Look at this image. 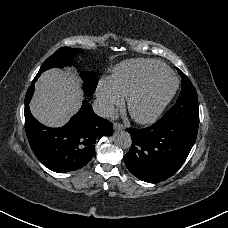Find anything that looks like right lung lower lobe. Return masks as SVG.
<instances>
[{"mask_svg": "<svg viewBox=\"0 0 228 228\" xmlns=\"http://www.w3.org/2000/svg\"><path fill=\"white\" fill-rule=\"evenodd\" d=\"M38 77L25 97V129L30 146L41 163L54 172L80 169L93 157L96 140L113 134V124L97 116L87 100L65 126L49 128L40 124L29 110Z\"/></svg>", "mask_w": 228, "mask_h": 228, "instance_id": "right-lung-lower-lobe-1", "label": "right lung lower lobe"}]
</instances>
